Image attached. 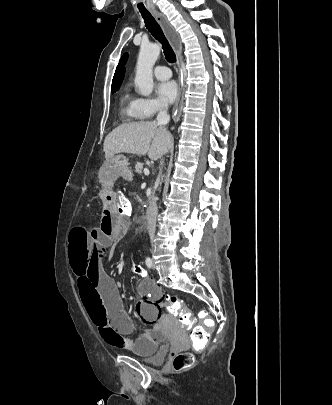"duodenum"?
I'll list each match as a JSON object with an SVG mask.
<instances>
[{"mask_svg": "<svg viewBox=\"0 0 332 405\" xmlns=\"http://www.w3.org/2000/svg\"><path fill=\"white\" fill-rule=\"evenodd\" d=\"M119 220L125 221L126 219H125L124 216H120V215H119Z\"/></svg>", "mask_w": 332, "mask_h": 405, "instance_id": "1", "label": "duodenum"}]
</instances>
